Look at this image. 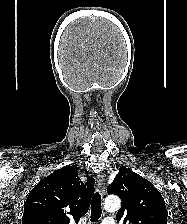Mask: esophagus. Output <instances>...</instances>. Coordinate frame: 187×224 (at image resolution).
<instances>
[{"label": "esophagus", "mask_w": 187, "mask_h": 224, "mask_svg": "<svg viewBox=\"0 0 187 224\" xmlns=\"http://www.w3.org/2000/svg\"><path fill=\"white\" fill-rule=\"evenodd\" d=\"M97 182L100 188V192L102 195H105L106 187H105V174L103 172L98 173Z\"/></svg>", "instance_id": "1"}]
</instances>
